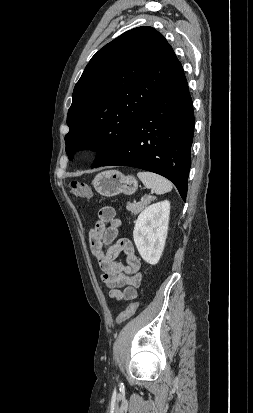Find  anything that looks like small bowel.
Here are the masks:
<instances>
[{"label":"small bowel","mask_w":253,"mask_h":413,"mask_svg":"<svg viewBox=\"0 0 253 413\" xmlns=\"http://www.w3.org/2000/svg\"><path fill=\"white\" fill-rule=\"evenodd\" d=\"M121 225L113 207H102L89 233L90 249L98 260L109 297L117 301H132L137 298V288L141 283V261L130 239L116 240ZM120 253L126 256L124 263L117 260Z\"/></svg>","instance_id":"1"}]
</instances>
